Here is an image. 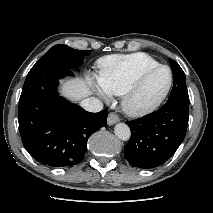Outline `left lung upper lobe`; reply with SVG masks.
I'll return each instance as SVG.
<instances>
[{
  "label": "left lung upper lobe",
  "instance_id": "5c2ea615",
  "mask_svg": "<svg viewBox=\"0 0 213 213\" xmlns=\"http://www.w3.org/2000/svg\"><path fill=\"white\" fill-rule=\"evenodd\" d=\"M170 63L174 75V84L169 99L176 98L189 101L185 74L178 63H176L174 60L171 59Z\"/></svg>",
  "mask_w": 213,
  "mask_h": 213
}]
</instances>
